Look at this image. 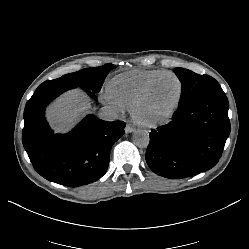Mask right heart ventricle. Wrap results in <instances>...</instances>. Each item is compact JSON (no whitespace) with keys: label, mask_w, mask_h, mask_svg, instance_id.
Here are the masks:
<instances>
[{"label":"right heart ventricle","mask_w":249,"mask_h":249,"mask_svg":"<svg viewBox=\"0 0 249 249\" xmlns=\"http://www.w3.org/2000/svg\"><path fill=\"white\" fill-rule=\"evenodd\" d=\"M165 69H132L112 77L106 85L107 94L129 107L142 88Z\"/></svg>","instance_id":"obj_1"}]
</instances>
